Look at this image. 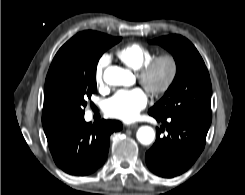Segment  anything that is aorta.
<instances>
[{
  "mask_svg": "<svg viewBox=\"0 0 245 195\" xmlns=\"http://www.w3.org/2000/svg\"><path fill=\"white\" fill-rule=\"evenodd\" d=\"M104 81L112 86H129L132 84L131 73L118 66H109L103 75ZM137 140L143 145L151 144L155 139V131L150 126H141L136 134Z\"/></svg>",
  "mask_w": 245,
  "mask_h": 195,
  "instance_id": "1",
  "label": "aorta"
}]
</instances>
